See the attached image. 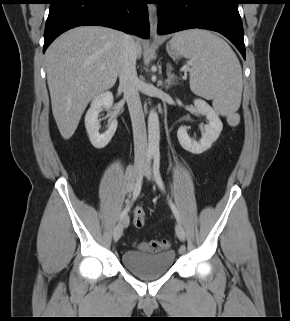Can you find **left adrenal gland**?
Masks as SVG:
<instances>
[{"mask_svg": "<svg viewBox=\"0 0 290 321\" xmlns=\"http://www.w3.org/2000/svg\"><path fill=\"white\" fill-rule=\"evenodd\" d=\"M172 66L170 63H167V79L165 81V88L169 89L172 85L177 84V77L172 74Z\"/></svg>", "mask_w": 290, "mask_h": 321, "instance_id": "1", "label": "left adrenal gland"}]
</instances>
